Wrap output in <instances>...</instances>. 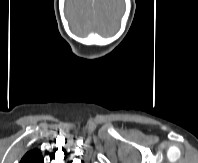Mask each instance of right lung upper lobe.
Listing matches in <instances>:
<instances>
[{
	"mask_svg": "<svg viewBox=\"0 0 198 163\" xmlns=\"http://www.w3.org/2000/svg\"><path fill=\"white\" fill-rule=\"evenodd\" d=\"M20 163H44V159L40 150L32 149L23 156Z\"/></svg>",
	"mask_w": 198,
	"mask_h": 163,
	"instance_id": "right-lung-upper-lobe-1",
	"label": "right lung upper lobe"
}]
</instances>
